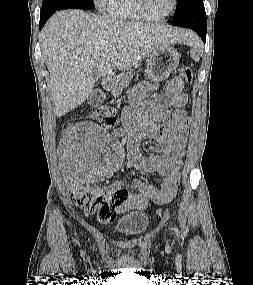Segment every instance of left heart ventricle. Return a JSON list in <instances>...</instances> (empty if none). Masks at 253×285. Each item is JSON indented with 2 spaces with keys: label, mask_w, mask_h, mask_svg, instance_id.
Instances as JSON below:
<instances>
[{
  "label": "left heart ventricle",
  "mask_w": 253,
  "mask_h": 285,
  "mask_svg": "<svg viewBox=\"0 0 253 285\" xmlns=\"http://www.w3.org/2000/svg\"><path fill=\"white\" fill-rule=\"evenodd\" d=\"M148 15L160 17L166 15L172 8L173 0H143Z\"/></svg>",
  "instance_id": "1"
}]
</instances>
